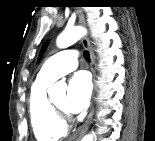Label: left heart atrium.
<instances>
[{
	"label": "left heart atrium",
	"mask_w": 155,
	"mask_h": 141,
	"mask_svg": "<svg viewBox=\"0 0 155 141\" xmlns=\"http://www.w3.org/2000/svg\"><path fill=\"white\" fill-rule=\"evenodd\" d=\"M91 96V83L85 72L76 73L69 81L65 109L78 114L86 109Z\"/></svg>",
	"instance_id": "obj_1"
}]
</instances>
